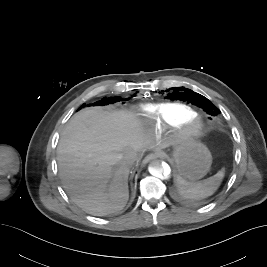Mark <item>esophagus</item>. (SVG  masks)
Returning a JSON list of instances; mask_svg holds the SVG:
<instances>
[{"instance_id":"obj_1","label":"esophagus","mask_w":267,"mask_h":267,"mask_svg":"<svg viewBox=\"0 0 267 267\" xmlns=\"http://www.w3.org/2000/svg\"><path fill=\"white\" fill-rule=\"evenodd\" d=\"M158 157H159V154H149L144 158L142 163L143 164H147L149 161L154 160V159H156Z\"/></svg>"}]
</instances>
